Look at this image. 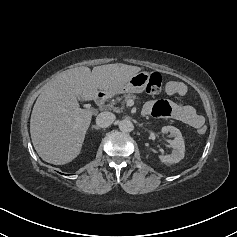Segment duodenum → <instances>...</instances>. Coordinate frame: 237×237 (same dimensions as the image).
Returning a JSON list of instances; mask_svg holds the SVG:
<instances>
[{
  "label": "duodenum",
  "instance_id": "410a0bca",
  "mask_svg": "<svg viewBox=\"0 0 237 237\" xmlns=\"http://www.w3.org/2000/svg\"><path fill=\"white\" fill-rule=\"evenodd\" d=\"M106 101V96L103 93H97L95 96V102L98 106L104 105Z\"/></svg>",
  "mask_w": 237,
  "mask_h": 237
}]
</instances>
